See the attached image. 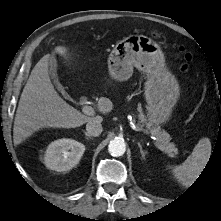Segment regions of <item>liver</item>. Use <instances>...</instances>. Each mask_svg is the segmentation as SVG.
I'll use <instances>...</instances> for the list:
<instances>
[{
	"mask_svg": "<svg viewBox=\"0 0 221 221\" xmlns=\"http://www.w3.org/2000/svg\"><path fill=\"white\" fill-rule=\"evenodd\" d=\"M54 53L68 59L65 46H56ZM50 58L51 55L46 54L38 61L21 94L13 128L16 145L43 128H75L91 121H102L101 116L83 115L58 95L49 77ZM97 108L107 114L113 109V103L101 97Z\"/></svg>",
	"mask_w": 221,
	"mask_h": 221,
	"instance_id": "obj_1",
	"label": "liver"
}]
</instances>
